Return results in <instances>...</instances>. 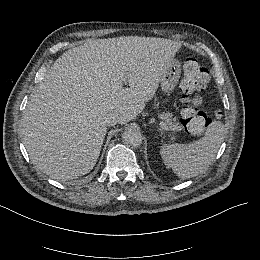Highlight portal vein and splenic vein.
Segmentation results:
<instances>
[{
  "label": "portal vein and splenic vein",
  "mask_w": 260,
  "mask_h": 260,
  "mask_svg": "<svg viewBox=\"0 0 260 260\" xmlns=\"http://www.w3.org/2000/svg\"><path fill=\"white\" fill-rule=\"evenodd\" d=\"M160 126H161L162 129L165 130L166 132H169L170 129H171V128H170L167 124H165L164 122H161V123H160Z\"/></svg>",
  "instance_id": "1"
}]
</instances>
